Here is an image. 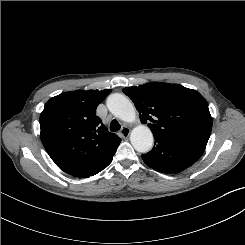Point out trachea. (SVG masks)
<instances>
[{
    "label": "trachea",
    "instance_id": "trachea-1",
    "mask_svg": "<svg viewBox=\"0 0 245 245\" xmlns=\"http://www.w3.org/2000/svg\"><path fill=\"white\" fill-rule=\"evenodd\" d=\"M120 128H121V125L119 124V122L116 119H113L110 123V131L116 132L120 130Z\"/></svg>",
    "mask_w": 245,
    "mask_h": 245
}]
</instances>
